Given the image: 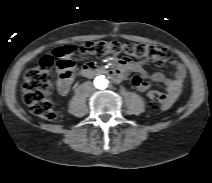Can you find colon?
<instances>
[{
	"mask_svg": "<svg viewBox=\"0 0 212 183\" xmlns=\"http://www.w3.org/2000/svg\"><path fill=\"white\" fill-rule=\"evenodd\" d=\"M53 53L56 57L61 58L57 63V68L67 77L75 75V64L71 58L76 54L81 56L125 55L127 57L150 60L162 67H168L175 63L171 52L165 48L118 41H93L80 46L69 44L56 48ZM53 66L52 57H43L36 66L27 71L22 86L24 101L30 111L47 121H53L56 118L55 110L50 100V95L53 91L51 74ZM146 95L154 108L161 107L167 101V96L159 91L147 90Z\"/></svg>",
	"mask_w": 212,
	"mask_h": 183,
	"instance_id": "obj_1",
	"label": "colon"
}]
</instances>
